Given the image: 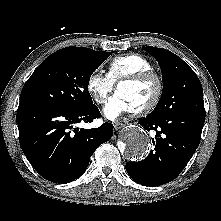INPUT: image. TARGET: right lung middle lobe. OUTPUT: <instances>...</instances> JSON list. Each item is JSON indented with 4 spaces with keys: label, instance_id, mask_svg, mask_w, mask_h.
Returning a JSON list of instances; mask_svg holds the SVG:
<instances>
[{
    "label": "right lung middle lobe",
    "instance_id": "obj_1",
    "mask_svg": "<svg viewBox=\"0 0 221 221\" xmlns=\"http://www.w3.org/2000/svg\"><path fill=\"white\" fill-rule=\"evenodd\" d=\"M84 56L57 51L48 56L26 81L20 102L54 105L70 110L93 106L88 83L92 73L110 56Z\"/></svg>",
    "mask_w": 221,
    "mask_h": 221
}]
</instances>
